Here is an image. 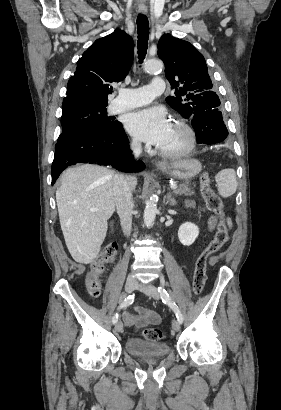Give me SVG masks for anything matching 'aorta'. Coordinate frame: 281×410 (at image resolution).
Here are the masks:
<instances>
[{
    "mask_svg": "<svg viewBox=\"0 0 281 410\" xmlns=\"http://www.w3.org/2000/svg\"><path fill=\"white\" fill-rule=\"evenodd\" d=\"M163 62L160 60H148L144 64V71L146 73H154L163 69ZM157 213V200L153 196L146 202V207L144 210V223L146 227H151L155 221Z\"/></svg>",
    "mask_w": 281,
    "mask_h": 410,
    "instance_id": "1",
    "label": "aorta"
}]
</instances>
